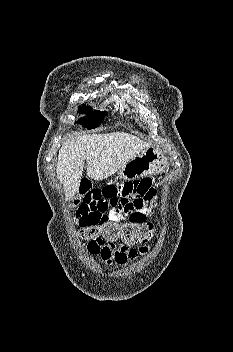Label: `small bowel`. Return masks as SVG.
<instances>
[{
    "mask_svg": "<svg viewBox=\"0 0 233 352\" xmlns=\"http://www.w3.org/2000/svg\"><path fill=\"white\" fill-rule=\"evenodd\" d=\"M76 209L79 225L90 221L113 220L118 223L142 224L150 222L156 190L151 178L128 181L120 185L96 187L83 180ZM89 254L98 256L106 264L125 265L145 250L117 245L115 241H94L87 245Z\"/></svg>",
    "mask_w": 233,
    "mask_h": 352,
    "instance_id": "obj_1",
    "label": "small bowel"
}]
</instances>
